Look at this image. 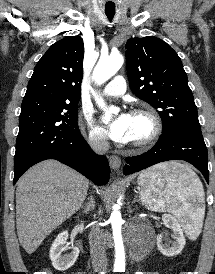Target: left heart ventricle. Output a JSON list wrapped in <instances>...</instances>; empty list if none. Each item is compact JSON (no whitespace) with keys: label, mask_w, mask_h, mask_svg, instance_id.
Returning <instances> with one entry per match:
<instances>
[{"label":"left heart ventricle","mask_w":215,"mask_h":274,"mask_svg":"<svg viewBox=\"0 0 215 274\" xmlns=\"http://www.w3.org/2000/svg\"><path fill=\"white\" fill-rule=\"evenodd\" d=\"M150 128V122L146 117L131 115L129 141H136L146 137L150 132Z\"/></svg>","instance_id":"1"}]
</instances>
